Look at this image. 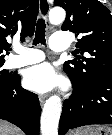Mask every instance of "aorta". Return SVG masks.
<instances>
[{
  "label": "aorta",
  "mask_w": 112,
  "mask_h": 135,
  "mask_svg": "<svg viewBox=\"0 0 112 135\" xmlns=\"http://www.w3.org/2000/svg\"><path fill=\"white\" fill-rule=\"evenodd\" d=\"M65 11L62 8H54L49 13V20L57 25L65 20ZM62 111V102L59 96L53 95L46 100L40 119L42 135H58L59 119Z\"/></svg>",
  "instance_id": "aorta-1"
}]
</instances>
